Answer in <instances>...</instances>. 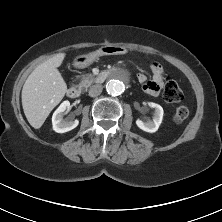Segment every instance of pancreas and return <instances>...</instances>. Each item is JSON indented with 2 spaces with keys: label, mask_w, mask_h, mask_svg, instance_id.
<instances>
[{
  "label": "pancreas",
  "mask_w": 222,
  "mask_h": 222,
  "mask_svg": "<svg viewBox=\"0 0 222 222\" xmlns=\"http://www.w3.org/2000/svg\"><path fill=\"white\" fill-rule=\"evenodd\" d=\"M81 80L78 85L79 88H88L92 83L96 81V78L93 74H84L81 75Z\"/></svg>",
  "instance_id": "1"
}]
</instances>
